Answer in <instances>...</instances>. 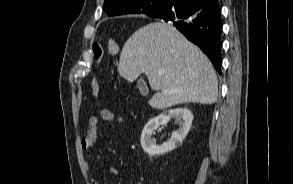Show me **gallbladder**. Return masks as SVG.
<instances>
[{
  "label": "gallbladder",
  "mask_w": 293,
  "mask_h": 184,
  "mask_svg": "<svg viewBox=\"0 0 293 184\" xmlns=\"http://www.w3.org/2000/svg\"><path fill=\"white\" fill-rule=\"evenodd\" d=\"M138 84L141 85V81L140 80L138 81Z\"/></svg>",
  "instance_id": "bac80fb5"
}]
</instances>
